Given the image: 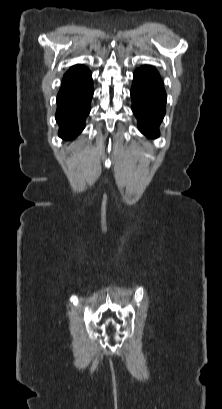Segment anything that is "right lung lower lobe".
<instances>
[{
    "instance_id": "obj_1",
    "label": "right lung lower lobe",
    "mask_w": 222,
    "mask_h": 409,
    "mask_svg": "<svg viewBox=\"0 0 222 409\" xmlns=\"http://www.w3.org/2000/svg\"><path fill=\"white\" fill-rule=\"evenodd\" d=\"M66 86L60 89L57 96L56 121L59 125V136L72 140L85 127V118L90 112L93 96L91 72L66 73L62 81Z\"/></svg>"
}]
</instances>
